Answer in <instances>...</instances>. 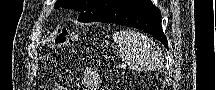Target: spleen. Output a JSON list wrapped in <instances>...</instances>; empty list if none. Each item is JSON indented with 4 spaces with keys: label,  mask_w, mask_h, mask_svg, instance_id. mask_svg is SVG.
I'll use <instances>...</instances> for the list:
<instances>
[{
    "label": "spleen",
    "mask_w": 216,
    "mask_h": 90,
    "mask_svg": "<svg viewBox=\"0 0 216 90\" xmlns=\"http://www.w3.org/2000/svg\"><path fill=\"white\" fill-rule=\"evenodd\" d=\"M114 40L119 46L122 60L131 70H152L160 62V50L151 38L140 32H116Z\"/></svg>",
    "instance_id": "obj_1"
}]
</instances>
